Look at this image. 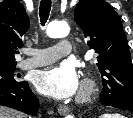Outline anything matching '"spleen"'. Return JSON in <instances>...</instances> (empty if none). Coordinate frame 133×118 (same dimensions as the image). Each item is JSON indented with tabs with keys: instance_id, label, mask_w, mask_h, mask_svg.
Returning <instances> with one entry per match:
<instances>
[{
	"instance_id": "3e777b00",
	"label": "spleen",
	"mask_w": 133,
	"mask_h": 118,
	"mask_svg": "<svg viewBox=\"0 0 133 118\" xmlns=\"http://www.w3.org/2000/svg\"><path fill=\"white\" fill-rule=\"evenodd\" d=\"M103 118H115V117H110V116L107 117V116H105V117H103Z\"/></svg>"
}]
</instances>
